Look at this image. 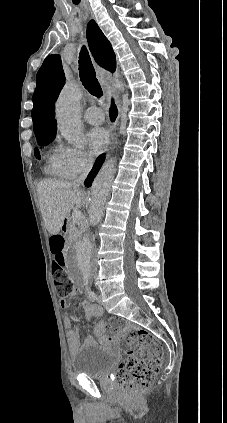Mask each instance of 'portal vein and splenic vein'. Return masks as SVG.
<instances>
[{"label": "portal vein and splenic vein", "instance_id": "portal-vein-and-splenic-vein-1", "mask_svg": "<svg viewBox=\"0 0 227 423\" xmlns=\"http://www.w3.org/2000/svg\"><path fill=\"white\" fill-rule=\"evenodd\" d=\"M72 217H73V219H80L81 211L73 210L72 211Z\"/></svg>", "mask_w": 227, "mask_h": 423}]
</instances>
